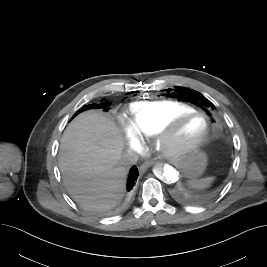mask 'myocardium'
I'll use <instances>...</instances> for the list:
<instances>
[{"instance_id":"1","label":"myocardium","mask_w":267,"mask_h":267,"mask_svg":"<svg viewBox=\"0 0 267 267\" xmlns=\"http://www.w3.org/2000/svg\"><path fill=\"white\" fill-rule=\"evenodd\" d=\"M193 116H200L204 120V129L200 136L192 141L178 142L174 139L176 128ZM210 133V121L208 116L199 110H192L179 114L166 121L154 135L155 147L168 158H177L197 150L208 138Z\"/></svg>"}]
</instances>
